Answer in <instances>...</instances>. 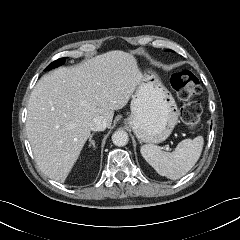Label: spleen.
Listing matches in <instances>:
<instances>
[{"mask_svg": "<svg viewBox=\"0 0 240 240\" xmlns=\"http://www.w3.org/2000/svg\"><path fill=\"white\" fill-rule=\"evenodd\" d=\"M203 144V137L197 136L194 139L182 140L171 153L164 152L159 146L153 144L143 145L140 152L159 175L176 180L184 176L196 164Z\"/></svg>", "mask_w": 240, "mask_h": 240, "instance_id": "3e777b00", "label": "spleen"}]
</instances>
